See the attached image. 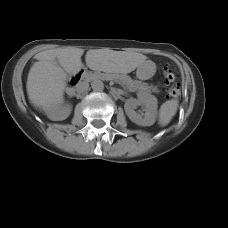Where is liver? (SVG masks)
<instances>
[{
  "mask_svg": "<svg viewBox=\"0 0 228 228\" xmlns=\"http://www.w3.org/2000/svg\"><path fill=\"white\" fill-rule=\"evenodd\" d=\"M83 53V49L63 48L35 55L37 61L29 70L26 83L30 103L48 113L57 109L64 100L68 74L76 75L83 67L81 62ZM146 59V56L138 53L100 49L90 50L86 55L87 66L106 75H125L150 62Z\"/></svg>",
  "mask_w": 228,
  "mask_h": 228,
  "instance_id": "obj_1",
  "label": "liver"
}]
</instances>
